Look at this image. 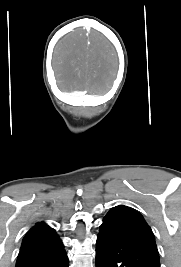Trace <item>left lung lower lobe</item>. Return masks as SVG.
Returning a JSON list of instances; mask_svg holds the SVG:
<instances>
[{
    "label": "left lung lower lobe",
    "instance_id": "1",
    "mask_svg": "<svg viewBox=\"0 0 181 267\" xmlns=\"http://www.w3.org/2000/svg\"><path fill=\"white\" fill-rule=\"evenodd\" d=\"M96 267H160L159 254L121 232L101 227Z\"/></svg>",
    "mask_w": 181,
    "mask_h": 267
}]
</instances>
